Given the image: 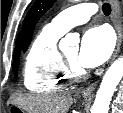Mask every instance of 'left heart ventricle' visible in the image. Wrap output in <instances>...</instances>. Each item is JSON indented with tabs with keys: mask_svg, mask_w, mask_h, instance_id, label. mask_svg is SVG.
<instances>
[{
	"mask_svg": "<svg viewBox=\"0 0 123 113\" xmlns=\"http://www.w3.org/2000/svg\"><path fill=\"white\" fill-rule=\"evenodd\" d=\"M66 56L73 62H76L77 49L68 50L65 52Z\"/></svg>",
	"mask_w": 123,
	"mask_h": 113,
	"instance_id": "obj_1",
	"label": "left heart ventricle"
}]
</instances>
